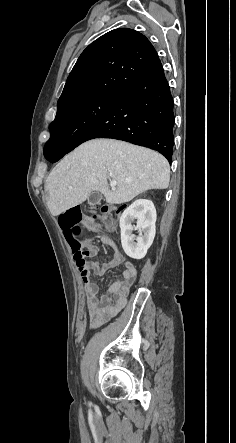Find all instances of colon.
<instances>
[{
	"label": "colon",
	"instance_id": "1",
	"mask_svg": "<svg viewBox=\"0 0 236 443\" xmlns=\"http://www.w3.org/2000/svg\"><path fill=\"white\" fill-rule=\"evenodd\" d=\"M84 214H90L89 220L91 227L97 221H100L101 224L108 229L112 228L114 219L117 216V212L109 206L73 207L66 209L59 215L58 222L68 240L73 259L80 265H83L92 254L89 248L86 249L83 246L85 240L82 227Z\"/></svg>",
	"mask_w": 236,
	"mask_h": 443
}]
</instances>
